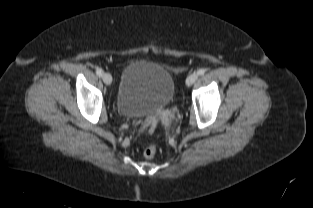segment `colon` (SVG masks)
Segmentation results:
<instances>
[{"label":"colon","instance_id":"1","mask_svg":"<svg viewBox=\"0 0 313 208\" xmlns=\"http://www.w3.org/2000/svg\"><path fill=\"white\" fill-rule=\"evenodd\" d=\"M156 153H157V147L155 145H148L143 150V156L146 159L153 158L156 155Z\"/></svg>","mask_w":313,"mask_h":208}]
</instances>
